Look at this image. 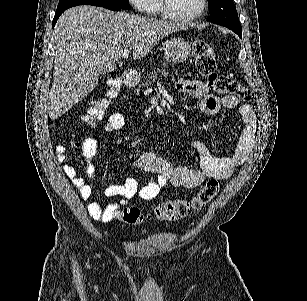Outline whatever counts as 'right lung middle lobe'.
I'll use <instances>...</instances> for the list:
<instances>
[{
	"label": "right lung middle lobe",
	"instance_id": "dd1d6c3e",
	"mask_svg": "<svg viewBox=\"0 0 307 301\" xmlns=\"http://www.w3.org/2000/svg\"><path fill=\"white\" fill-rule=\"evenodd\" d=\"M77 5L112 6L120 9H129L128 0H59L56 12L64 11Z\"/></svg>",
	"mask_w": 307,
	"mask_h": 301
}]
</instances>
